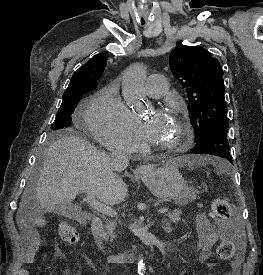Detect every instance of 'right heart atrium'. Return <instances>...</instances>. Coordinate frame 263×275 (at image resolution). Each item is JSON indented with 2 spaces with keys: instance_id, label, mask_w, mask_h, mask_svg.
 I'll return each mask as SVG.
<instances>
[{
  "instance_id": "1",
  "label": "right heart atrium",
  "mask_w": 263,
  "mask_h": 275,
  "mask_svg": "<svg viewBox=\"0 0 263 275\" xmlns=\"http://www.w3.org/2000/svg\"><path fill=\"white\" fill-rule=\"evenodd\" d=\"M84 123L92 136L104 147L118 152H134L142 137L132 111L114 88L97 93L88 104Z\"/></svg>"
}]
</instances>
